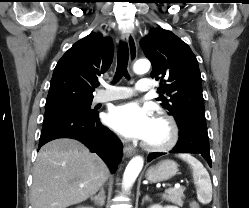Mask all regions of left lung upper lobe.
I'll use <instances>...</instances> for the list:
<instances>
[{"label": "left lung upper lobe", "mask_w": 249, "mask_h": 208, "mask_svg": "<svg viewBox=\"0 0 249 208\" xmlns=\"http://www.w3.org/2000/svg\"><path fill=\"white\" fill-rule=\"evenodd\" d=\"M145 56L152 63L151 77L160 79L161 106L176 122L188 115L205 118L201 75L196 56L190 47L171 31L152 29L143 41Z\"/></svg>", "instance_id": "1"}]
</instances>
